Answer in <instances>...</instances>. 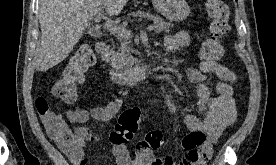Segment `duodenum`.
Returning <instances> with one entry per match:
<instances>
[{"mask_svg": "<svg viewBox=\"0 0 276 165\" xmlns=\"http://www.w3.org/2000/svg\"><path fill=\"white\" fill-rule=\"evenodd\" d=\"M96 51L100 56H105L108 50V45L104 40L96 43ZM157 71L156 64H148L146 66H138L130 70H111V77L117 84H125L131 81H139L147 79Z\"/></svg>", "mask_w": 276, "mask_h": 165, "instance_id": "obj_1", "label": "duodenum"}]
</instances>
